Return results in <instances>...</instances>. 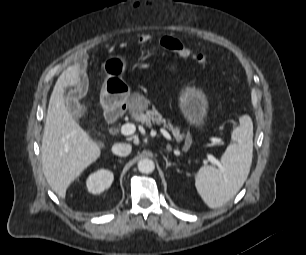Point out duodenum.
I'll return each mask as SVG.
<instances>
[{"label":"duodenum","mask_w":306,"mask_h":255,"mask_svg":"<svg viewBox=\"0 0 306 255\" xmlns=\"http://www.w3.org/2000/svg\"><path fill=\"white\" fill-rule=\"evenodd\" d=\"M119 116H120V110H117V109L109 110L107 111V114H106L107 120L110 123H114L118 119Z\"/></svg>","instance_id":"1"}]
</instances>
